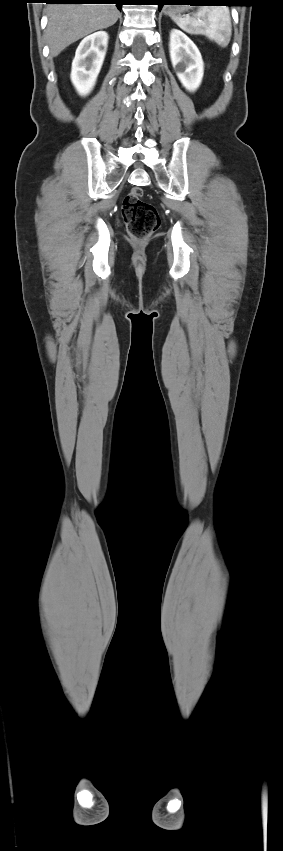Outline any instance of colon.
Returning <instances> with one entry per match:
<instances>
[{
    "label": "colon",
    "instance_id": "1",
    "mask_svg": "<svg viewBox=\"0 0 283 851\" xmlns=\"http://www.w3.org/2000/svg\"><path fill=\"white\" fill-rule=\"evenodd\" d=\"M142 195V188L135 186L128 191L122 204V215L128 233L137 242L145 241L160 225L157 209L142 200Z\"/></svg>",
    "mask_w": 283,
    "mask_h": 851
}]
</instances>
